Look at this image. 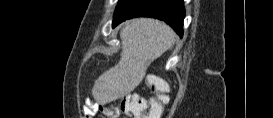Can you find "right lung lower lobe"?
I'll use <instances>...</instances> for the list:
<instances>
[{"instance_id":"1","label":"right lung lower lobe","mask_w":273,"mask_h":118,"mask_svg":"<svg viewBox=\"0 0 273 118\" xmlns=\"http://www.w3.org/2000/svg\"><path fill=\"white\" fill-rule=\"evenodd\" d=\"M133 17L165 21L180 37L183 36V0H124L115 10L113 27Z\"/></svg>"}]
</instances>
